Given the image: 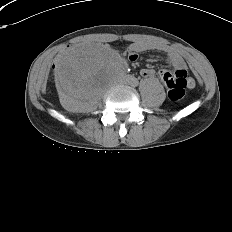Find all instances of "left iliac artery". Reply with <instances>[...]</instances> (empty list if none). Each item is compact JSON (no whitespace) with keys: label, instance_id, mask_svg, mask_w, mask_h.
Returning <instances> with one entry per match:
<instances>
[{"label":"left iliac artery","instance_id":"left-iliac-artery-1","mask_svg":"<svg viewBox=\"0 0 232 232\" xmlns=\"http://www.w3.org/2000/svg\"><path fill=\"white\" fill-rule=\"evenodd\" d=\"M131 84H132V86H134V87H135V86H137V85H138V81H137V80H132V83H131Z\"/></svg>","mask_w":232,"mask_h":232}]
</instances>
